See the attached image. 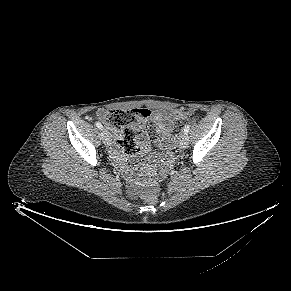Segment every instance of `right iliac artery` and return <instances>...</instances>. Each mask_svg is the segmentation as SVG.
Segmentation results:
<instances>
[{
	"label": "right iliac artery",
	"instance_id": "obj_1",
	"mask_svg": "<svg viewBox=\"0 0 291 291\" xmlns=\"http://www.w3.org/2000/svg\"><path fill=\"white\" fill-rule=\"evenodd\" d=\"M95 125L99 128V129H103V126L100 122H96Z\"/></svg>",
	"mask_w": 291,
	"mask_h": 291
}]
</instances>
